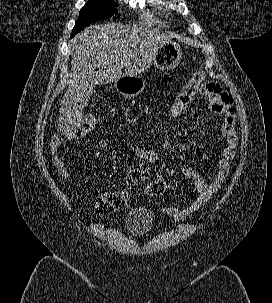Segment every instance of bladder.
<instances>
[{
	"mask_svg": "<svg viewBox=\"0 0 272 303\" xmlns=\"http://www.w3.org/2000/svg\"><path fill=\"white\" fill-rule=\"evenodd\" d=\"M154 225L153 214L145 208L132 209L126 219L125 226L134 235L144 234Z\"/></svg>",
	"mask_w": 272,
	"mask_h": 303,
	"instance_id": "obj_1",
	"label": "bladder"
}]
</instances>
